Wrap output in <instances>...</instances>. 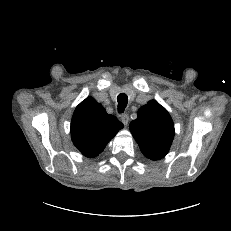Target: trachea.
Here are the masks:
<instances>
[{
	"label": "trachea",
	"instance_id": "trachea-1",
	"mask_svg": "<svg viewBox=\"0 0 231 231\" xmlns=\"http://www.w3.org/2000/svg\"><path fill=\"white\" fill-rule=\"evenodd\" d=\"M117 102L118 112L123 113L128 103V96L125 93H120L117 97Z\"/></svg>",
	"mask_w": 231,
	"mask_h": 231
}]
</instances>
